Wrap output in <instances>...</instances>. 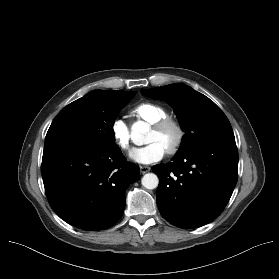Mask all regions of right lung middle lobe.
<instances>
[{
    "label": "right lung middle lobe",
    "mask_w": 279,
    "mask_h": 279,
    "mask_svg": "<svg viewBox=\"0 0 279 279\" xmlns=\"http://www.w3.org/2000/svg\"><path fill=\"white\" fill-rule=\"evenodd\" d=\"M134 94L93 91L63 108L53 120L45 146L80 141L100 149L116 146L113 125Z\"/></svg>",
    "instance_id": "obj_1"
}]
</instances>
